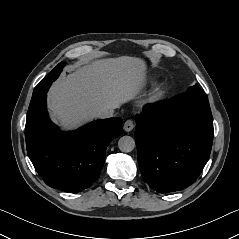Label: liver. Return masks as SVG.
I'll return each mask as SVG.
<instances>
[{"instance_id": "obj_1", "label": "liver", "mask_w": 239, "mask_h": 239, "mask_svg": "<svg viewBox=\"0 0 239 239\" xmlns=\"http://www.w3.org/2000/svg\"><path fill=\"white\" fill-rule=\"evenodd\" d=\"M146 66L142 59L122 56L96 60L54 83L48 106L63 128H75L97 114L133 99L142 89Z\"/></svg>"}]
</instances>
